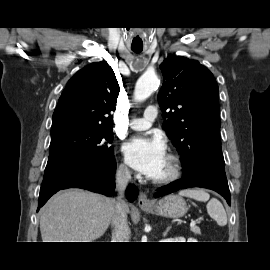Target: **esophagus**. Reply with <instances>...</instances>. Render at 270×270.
<instances>
[{
    "instance_id": "obj_1",
    "label": "esophagus",
    "mask_w": 270,
    "mask_h": 270,
    "mask_svg": "<svg viewBox=\"0 0 270 270\" xmlns=\"http://www.w3.org/2000/svg\"><path fill=\"white\" fill-rule=\"evenodd\" d=\"M153 203L148 199L146 193L141 192L138 198V205L140 207L151 206Z\"/></svg>"
}]
</instances>
